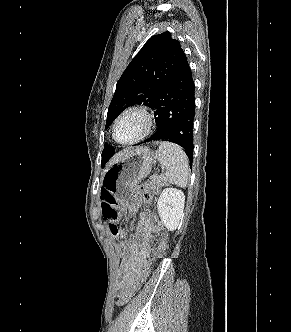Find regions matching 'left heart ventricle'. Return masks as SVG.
Listing matches in <instances>:
<instances>
[{
	"label": "left heart ventricle",
	"instance_id": "obj_1",
	"mask_svg": "<svg viewBox=\"0 0 291 332\" xmlns=\"http://www.w3.org/2000/svg\"><path fill=\"white\" fill-rule=\"evenodd\" d=\"M144 118L138 113H130L119 122L116 135L120 141H130L138 137L144 130Z\"/></svg>",
	"mask_w": 291,
	"mask_h": 332
}]
</instances>
